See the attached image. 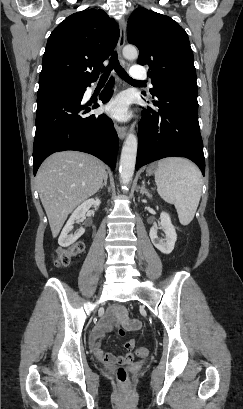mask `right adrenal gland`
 Masks as SVG:
<instances>
[{
  "mask_svg": "<svg viewBox=\"0 0 243 409\" xmlns=\"http://www.w3.org/2000/svg\"><path fill=\"white\" fill-rule=\"evenodd\" d=\"M107 178H108V174L106 173L104 176V182L102 183V185L100 186V190L103 189V187L107 186Z\"/></svg>",
  "mask_w": 243,
  "mask_h": 409,
  "instance_id": "obj_1",
  "label": "right adrenal gland"
}]
</instances>
